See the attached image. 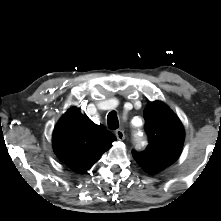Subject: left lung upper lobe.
I'll list each match as a JSON object with an SVG mask.
<instances>
[{"label": "left lung upper lobe", "instance_id": "1", "mask_svg": "<svg viewBox=\"0 0 221 221\" xmlns=\"http://www.w3.org/2000/svg\"><path fill=\"white\" fill-rule=\"evenodd\" d=\"M143 115L149 145L145 151H132V154L142 168L155 174L179 157L184 141V129L179 118L160 101L150 102Z\"/></svg>", "mask_w": 221, "mask_h": 221}]
</instances>
